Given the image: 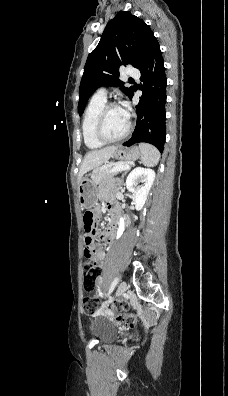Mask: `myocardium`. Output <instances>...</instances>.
Returning a JSON list of instances; mask_svg holds the SVG:
<instances>
[{
  "label": "myocardium",
  "instance_id": "obj_1",
  "mask_svg": "<svg viewBox=\"0 0 228 396\" xmlns=\"http://www.w3.org/2000/svg\"><path fill=\"white\" fill-rule=\"evenodd\" d=\"M113 108H120V106L117 103L105 104L96 118L95 135H96V138L103 144L114 143V142H118V141L125 139L130 134L131 129H132V123H131L130 119H128L127 128L124 131V133L121 134L120 136L111 138L105 134V130H104L105 118H106V115L109 112V110H111Z\"/></svg>",
  "mask_w": 228,
  "mask_h": 396
}]
</instances>
